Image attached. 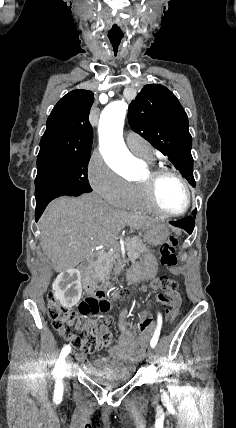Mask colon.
I'll list each match as a JSON object with an SVG mask.
<instances>
[{
	"instance_id": "obj_1",
	"label": "colon",
	"mask_w": 236,
	"mask_h": 428,
	"mask_svg": "<svg viewBox=\"0 0 236 428\" xmlns=\"http://www.w3.org/2000/svg\"><path fill=\"white\" fill-rule=\"evenodd\" d=\"M178 241L175 237L168 238L161 247L160 262L166 267H175L178 259L175 254ZM153 286L162 290L165 294L158 295V301L166 306L169 319L173 318L179 308L177 294L178 283L169 276H160L153 282ZM48 314L54 329L60 336L67 340L74 348L86 353L106 347L111 342L110 334L104 326H96L87 321L86 316L107 311L109 303L105 299L89 295L83 299L78 310L62 306L53 293L47 297ZM150 322L149 317L140 316L139 325L146 326Z\"/></svg>"
}]
</instances>
